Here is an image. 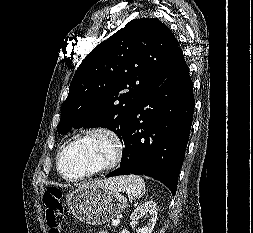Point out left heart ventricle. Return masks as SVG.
<instances>
[{
	"instance_id": "obj_1",
	"label": "left heart ventricle",
	"mask_w": 253,
	"mask_h": 233,
	"mask_svg": "<svg viewBox=\"0 0 253 233\" xmlns=\"http://www.w3.org/2000/svg\"><path fill=\"white\" fill-rule=\"evenodd\" d=\"M113 154L110 141L102 136H92L73 143L62 157V171L76 177L105 163Z\"/></svg>"
}]
</instances>
